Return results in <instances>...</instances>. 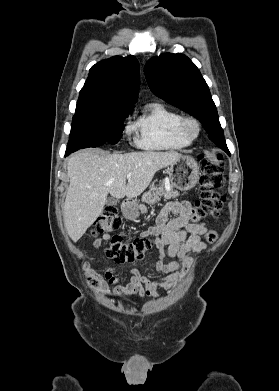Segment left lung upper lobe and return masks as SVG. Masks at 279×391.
Returning <instances> with one entry per match:
<instances>
[{
  "mask_svg": "<svg viewBox=\"0 0 279 391\" xmlns=\"http://www.w3.org/2000/svg\"><path fill=\"white\" fill-rule=\"evenodd\" d=\"M144 72L156 96L197 118L208 132L209 139L228 152L208 85L188 57L172 53L153 57Z\"/></svg>",
  "mask_w": 279,
  "mask_h": 391,
  "instance_id": "left-lung-upper-lobe-1",
  "label": "left lung upper lobe"
}]
</instances>
